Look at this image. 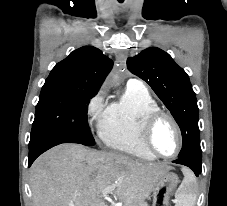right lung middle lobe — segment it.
Here are the masks:
<instances>
[{
	"instance_id": "1",
	"label": "right lung middle lobe",
	"mask_w": 227,
	"mask_h": 206,
	"mask_svg": "<svg viewBox=\"0 0 227 206\" xmlns=\"http://www.w3.org/2000/svg\"><path fill=\"white\" fill-rule=\"evenodd\" d=\"M95 93L43 87L36 105L30 142L49 134L68 136L77 143L94 146L85 120L86 105Z\"/></svg>"
}]
</instances>
